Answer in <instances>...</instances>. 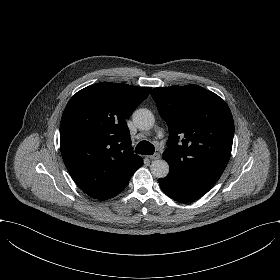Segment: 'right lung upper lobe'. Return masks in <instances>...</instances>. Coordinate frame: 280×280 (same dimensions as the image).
I'll return each instance as SVG.
<instances>
[{
  "mask_svg": "<svg viewBox=\"0 0 280 280\" xmlns=\"http://www.w3.org/2000/svg\"><path fill=\"white\" fill-rule=\"evenodd\" d=\"M150 90L102 82L68 102L60 123V150L72 179L88 196L115 197L143 165L133 153L126 119Z\"/></svg>",
  "mask_w": 280,
  "mask_h": 280,
  "instance_id": "1",
  "label": "right lung upper lobe"
}]
</instances>
